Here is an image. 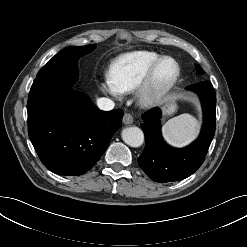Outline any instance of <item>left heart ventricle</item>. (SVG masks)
Returning <instances> with one entry per match:
<instances>
[{"instance_id":"b2bd125f","label":"left heart ventricle","mask_w":247,"mask_h":247,"mask_svg":"<svg viewBox=\"0 0 247 247\" xmlns=\"http://www.w3.org/2000/svg\"><path fill=\"white\" fill-rule=\"evenodd\" d=\"M175 66L171 61H164L157 70L155 81L158 85L167 82L174 74Z\"/></svg>"}]
</instances>
